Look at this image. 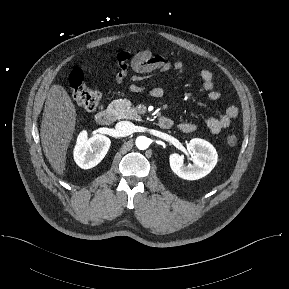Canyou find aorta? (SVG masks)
I'll return each instance as SVG.
<instances>
[{"label": "aorta", "mask_w": 289, "mask_h": 289, "mask_svg": "<svg viewBox=\"0 0 289 289\" xmlns=\"http://www.w3.org/2000/svg\"><path fill=\"white\" fill-rule=\"evenodd\" d=\"M136 146L140 150H145L149 147V139L145 136H139L136 139Z\"/></svg>", "instance_id": "aorta-1"}]
</instances>
